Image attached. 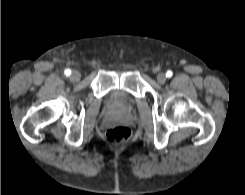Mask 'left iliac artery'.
I'll return each mask as SVG.
<instances>
[{
	"label": "left iliac artery",
	"mask_w": 245,
	"mask_h": 195,
	"mask_svg": "<svg viewBox=\"0 0 245 195\" xmlns=\"http://www.w3.org/2000/svg\"><path fill=\"white\" fill-rule=\"evenodd\" d=\"M172 75H173L172 71L171 70H168L167 73H166V76L168 78H170V77H172Z\"/></svg>",
	"instance_id": "44dca946"
}]
</instances>
